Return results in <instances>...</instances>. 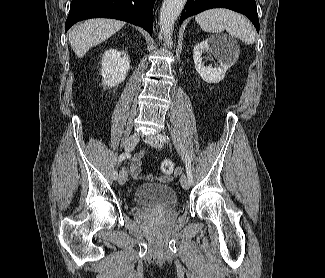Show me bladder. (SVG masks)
Segmentation results:
<instances>
[{"mask_svg":"<svg viewBox=\"0 0 325 278\" xmlns=\"http://www.w3.org/2000/svg\"><path fill=\"white\" fill-rule=\"evenodd\" d=\"M134 200L142 207L169 208L176 205L177 195L169 185L144 183L137 188Z\"/></svg>","mask_w":325,"mask_h":278,"instance_id":"bladder-1","label":"bladder"}]
</instances>
